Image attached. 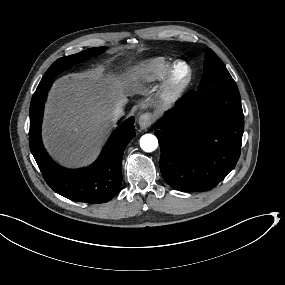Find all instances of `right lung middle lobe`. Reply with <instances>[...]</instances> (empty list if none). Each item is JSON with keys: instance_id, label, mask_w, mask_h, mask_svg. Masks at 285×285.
I'll return each instance as SVG.
<instances>
[{"instance_id": "right-lung-middle-lobe-1", "label": "right lung middle lobe", "mask_w": 285, "mask_h": 285, "mask_svg": "<svg viewBox=\"0 0 285 285\" xmlns=\"http://www.w3.org/2000/svg\"><path fill=\"white\" fill-rule=\"evenodd\" d=\"M104 50H105V47L90 48L78 54L59 58L50 66V68L48 69L46 74L43 76L38 86H45L49 84L62 71L70 68L72 65H74L77 62H81V61L88 59L92 55L100 54Z\"/></svg>"}]
</instances>
